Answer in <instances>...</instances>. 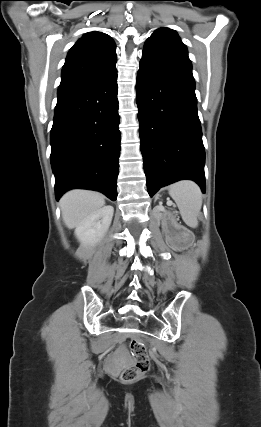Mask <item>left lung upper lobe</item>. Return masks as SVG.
Returning a JSON list of instances; mask_svg holds the SVG:
<instances>
[{
	"mask_svg": "<svg viewBox=\"0 0 261 427\" xmlns=\"http://www.w3.org/2000/svg\"><path fill=\"white\" fill-rule=\"evenodd\" d=\"M143 53L192 68L186 46L178 34L169 28L157 29L145 42Z\"/></svg>",
	"mask_w": 261,
	"mask_h": 427,
	"instance_id": "left-lung-upper-lobe-1",
	"label": "left lung upper lobe"
}]
</instances>
